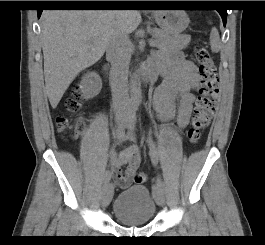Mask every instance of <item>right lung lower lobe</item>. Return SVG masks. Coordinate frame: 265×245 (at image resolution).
<instances>
[{"instance_id":"1","label":"right lung lower lobe","mask_w":265,"mask_h":245,"mask_svg":"<svg viewBox=\"0 0 265 245\" xmlns=\"http://www.w3.org/2000/svg\"><path fill=\"white\" fill-rule=\"evenodd\" d=\"M53 6H79V7H118L122 6L121 1H81L80 3H55ZM38 11V18H40L42 9Z\"/></svg>"}]
</instances>
